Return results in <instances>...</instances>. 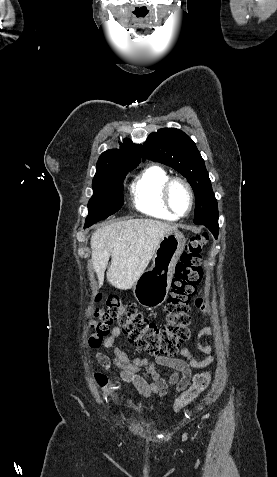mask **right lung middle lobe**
I'll use <instances>...</instances> for the list:
<instances>
[{"label": "right lung middle lobe", "mask_w": 277, "mask_h": 477, "mask_svg": "<svg viewBox=\"0 0 277 477\" xmlns=\"http://www.w3.org/2000/svg\"><path fill=\"white\" fill-rule=\"evenodd\" d=\"M132 169L111 168L96 173L92 182L93 196L89 200V215L85 227L117 212L123 204V180Z\"/></svg>", "instance_id": "right-lung-middle-lobe-1"}]
</instances>
